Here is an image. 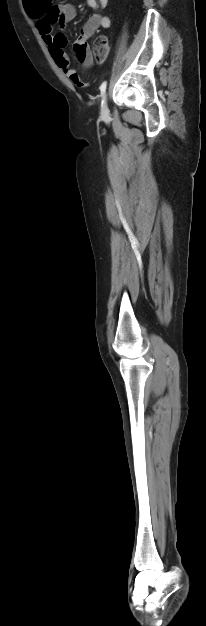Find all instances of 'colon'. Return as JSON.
I'll return each instance as SVG.
<instances>
[{
    "instance_id": "5ec220e1",
    "label": "colon",
    "mask_w": 206,
    "mask_h": 626,
    "mask_svg": "<svg viewBox=\"0 0 206 626\" xmlns=\"http://www.w3.org/2000/svg\"><path fill=\"white\" fill-rule=\"evenodd\" d=\"M93 57L97 62L106 60L109 54V44L104 36H99L93 44Z\"/></svg>"
}]
</instances>
